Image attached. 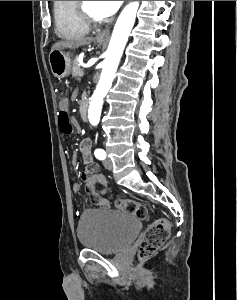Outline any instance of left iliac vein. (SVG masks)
Segmentation results:
<instances>
[{
    "label": "left iliac vein",
    "mask_w": 237,
    "mask_h": 300,
    "mask_svg": "<svg viewBox=\"0 0 237 300\" xmlns=\"http://www.w3.org/2000/svg\"><path fill=\"white\" fill-rule=\"evenodd\" d=\"M103 165L106 169H109L111 170L113 168V165H112V161L111 159L109 158H106L104 161H103Z\"/></svg>",
    "instance_id": "left-iliac-vein-1"
}]
</instances>
